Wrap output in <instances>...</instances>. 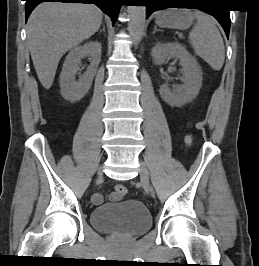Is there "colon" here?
Returning <instances> with one entry per match:
<instances>
[{"instance_id": "obj_1", "label": "colon", "mask_w": 259, "mask_h": 266, "mask_svg": "<svg viewBox=\"0 0 259 266\" xmlns=\"http://www.w3.org/2000/svg\"><path fill=\"white\" fill-rule=\"evenodd\" d=\"M185 143L187 146H190L192 143V135L191 134H187L185 136ZM115 193L119 196V197H124L127 194V187L123 184H118L115 187Z\"/></svg>"}]
</instances>
